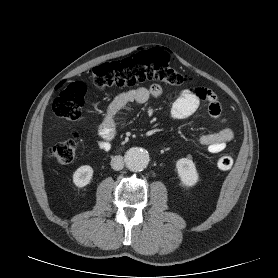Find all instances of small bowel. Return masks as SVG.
Returning <instances> with one entry per match:
<instances>
[{"instance_id": "1", "label": "small bowel", "mask_w": 278, "mask_h": 278, "mask_svg": "<svg viewBox=\"0 0 278 278\" xmlns=\"http://www.w3.org/2000/svg\"><path fill=\"white\" fill-rule=\"evenodd\" d=\"M162 95V88L158 84L149 87H138L117 95L106 110L103 122L98 134L97 145L102 150H109L111 141L116 134V122L128 108L146 103L151 97ZM208 104L209 115L219 120L224 126L221 130L200 136L197 142L207 147L211 153L223 151L228 142L233 139V130L226 126V118L223 117V109L216 95L209 89L200 87L196 89H184L174 100L171 108V116L175 120H184L193 115L201 102Z\"/></svg>"}]
</instances>
